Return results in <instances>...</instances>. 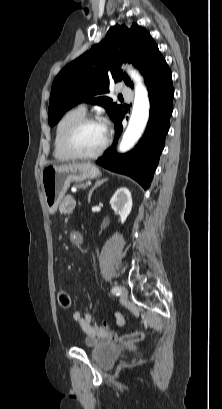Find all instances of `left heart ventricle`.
Here are the masks:
<instances>
[{
  "mask_svg": "<svg viewBox=\"0 0 222 409\" xmlns=\"http://www.w3.org/2000/svg\"><path fill=\"white\" fill-rule=\"evenodd\" d=\"M107 135L105 126L101 123H89L83 126L75 135L73 145L77 151L91 154L98 151Z\"/></svg>",
  "mask_w": 222,
  "mask_h": 409,
  "instance_id": "left-heart-ventricle-1",
  "label": "left heart ventricle"
}]
</instances>
